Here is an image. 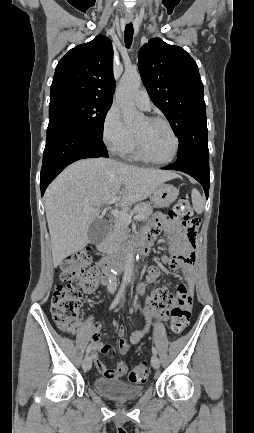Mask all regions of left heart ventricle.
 <instances>
[{
	"mask_svg": "<svg viewBox=\"0 0 254 433\" xmlns=\"http://www.w3.org/2000/svg\"><path fill=\"white\" fill-rule=\"evenodd\" d=\"M146 153L155 160L168 159L174 150V139L167 128L144 119L135 129Z\"/></svg>",
	"mask_w": 254,
	"mask_h": 433,
	"instance_id": "1",
	"label": "left heart ventricle"
}]
</instances>
